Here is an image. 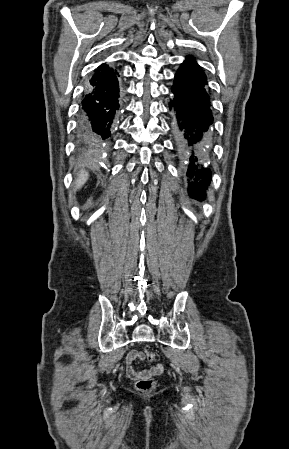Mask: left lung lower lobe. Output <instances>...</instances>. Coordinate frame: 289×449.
Segmentation results:
<instances>
[{
  "label": "left lung lower lobe",
  "instance_id": "obj_1",
  "mask_svg": "<svg viewBox=\"0 0 289 449\" xmlns=\"http://www.w3.org/2000/svg\"><path fill=\"white\" fill-rule=\"evenodd\" d=\"M207 78L194 58L188 57L175 74L169 103L176 118L174 135L179 149L190 153L187 170L188 193L199 201L205 199L210 185L211 170L200 163L201 152L208 145L207 133L213 123Z\"/></svg>",
  "mask_w": 289,
  "mask_h": 449
}]
</instances>
